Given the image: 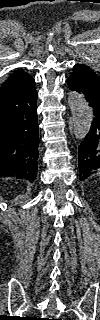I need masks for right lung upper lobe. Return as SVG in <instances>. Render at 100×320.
Returning a JSON list of instances; mask_svg holds the SVG:
<instances>
[{
  "label": "right lung upper lobe",
  "mask_w": 100,
  "mask_h": 320,
  "mask_svg": "<svg viewBox=\"0 0 100 320\" xmlns=\"http://www.w3.org/2000/svg\"><path fill=\"white\" fill-rule=\"evenodd\" d=\"M34 87V79L23 69L12 73L0 89V100L21 97Z\"/></svg>",
  "instance_id": "cb5924a9"
}]
</instances>
